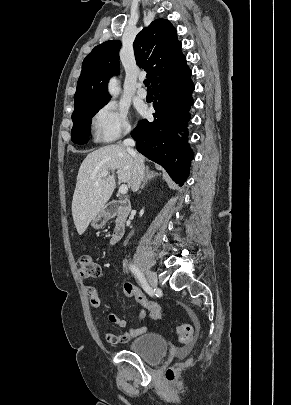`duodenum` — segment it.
Listing matches in <instances>:
<instances>
[{"mask_svg": "<svg viewBox=\"0 0 291 405\" xmlns=\"http://www.w3.org/2000/svg\"><path fill=\"white\" fill-rule=\"evenodd\" d=\"M131 205L126 199L110 201L104 208L105 218L115 220L114 228L110 237V243H118L125 234L126 219L130 213Z\"/></svg>", "mask_w": 291, "mask_h": 405, "instance_id": "410a0bca", "label": "duodenum"}]
</instances>
